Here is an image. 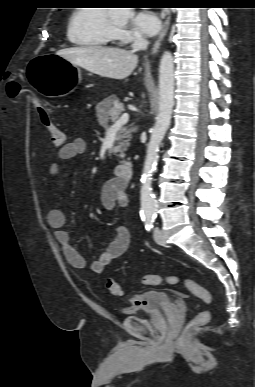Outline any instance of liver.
<instances>
[{"mask_svg": "<svg viewBox=\"0 0 255 387\" xmlns=\"http://www.w3.org/2000/svg\"><path fill=\"white\" fill-rule=\"evenodd\" d=\"M56 55L101 77L125 79L138 64L134 51L102 46L73 47L57 51Z\"/></svg>", "mask_w": 255, "mask_h": 387, "instance_id": "6515ba94", "label": "liver"}]
</instances>
